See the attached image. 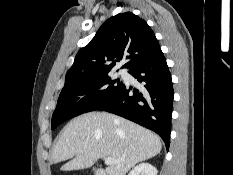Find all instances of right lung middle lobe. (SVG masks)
<instances>
[{"label":"right lung middle lobe","instance_id":"dd1d6c3e","mask_svg":"<svg viewBox=\"0 0 233 175\" xmlns=\"http://www.w3.org/2000/svg\"><path fill=\"white\" fill-rule=\"evenodd\" d=\"M123 85L119 80L112 81L108 73L66 81L52 115V129L75 116L97 110Z\"/></svg>","mask_w":233,"mask_h":175}]
</instances>
